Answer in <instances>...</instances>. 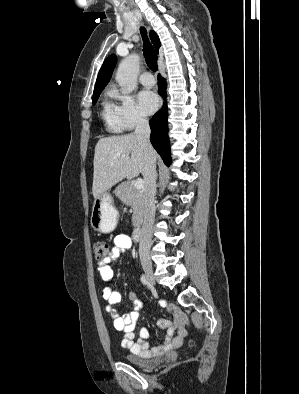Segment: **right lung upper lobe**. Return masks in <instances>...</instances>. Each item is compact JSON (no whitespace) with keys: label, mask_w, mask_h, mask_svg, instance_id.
<instances>
[{"label":"right lung upper lobe","mask_w":299,"mask_h":394,"mask_svg":"<svg viewBox=\"0 0 299 394\" xmlns=\"http://www.w3.org/2000/svg\"><path fill=\"white\" fill-rule=\"evenodd\" d=\"M150 38L152 40V43L158 53V50L161 46L160 44V40L159 37L157 36V34L154 31H150ZM116 61L117 58L116 56L113 54L111 56H109L103 63L99 74L97 76V80H96V84H95V89H94V93L93 96L96 94H99L102 92V90L104 89V87L107 85V83L109 82L112 73H113V69L116 65Z\"/></svg>","instance_id":"right-lung-upper-lobe-1"}]
</instances>
